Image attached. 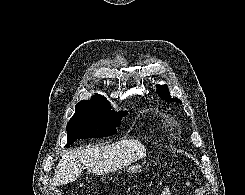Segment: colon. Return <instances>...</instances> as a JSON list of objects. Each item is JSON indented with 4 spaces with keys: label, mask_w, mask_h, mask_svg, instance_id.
Instances as JSON below:
<instances>
[{
    "label": "colon",
    "mask_w": 245,
    "mask_h": 195,
    "mask_svg": "<svg viewBox=\"0 0 245 195\" xmlns=\"http://www.w3.org/2000/svg\"><path fill=\"white\" fill-rule=\"evenodd\" d=\"M173 189L172 188H167L163 191L162 195H172Z\"/></svg>",
    "instance_id": "colon-1"
}]
</instances>
